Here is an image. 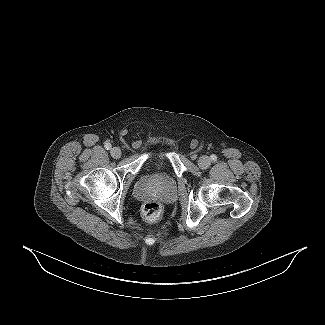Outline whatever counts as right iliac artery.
Returning <instances> with one entry per match:
<instances>
[{"label":"right iliac artery","instance_id":"1","mask_svg":"<svg viewBox=\"0 0 325 325\" xmlns=\"http://www.w3.org/2000/svg\"><path fill=\"white\" fill-rule=\"evenodd\" d=\"M105 149L110 150L111 149V144L110 143H106L105 144Z\"/></svg>","mask_w":325,"mask_h":325}]
</instances>
